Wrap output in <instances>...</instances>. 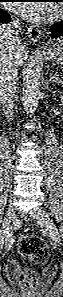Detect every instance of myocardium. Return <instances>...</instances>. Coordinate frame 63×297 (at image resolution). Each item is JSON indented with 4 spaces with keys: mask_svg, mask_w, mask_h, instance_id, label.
<instances>
[{
    "mask_svg": "<svg viewBox=\"0 0 63 297\" xmlns=\"http://www.w3.org/2000/svg\"><path fill=\"white\" fill-rule=\"evenodd\" d=\"M56 15H57V13L55 12V13H54V16H56Z\"/></svg>",
    "mask_w": 63,
    "mask_h": 297,
    "instance_id": "f54148a6",
    "label": "myocardium"
}]
</instances>
